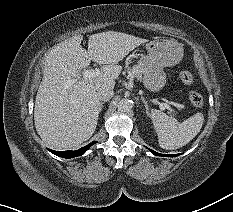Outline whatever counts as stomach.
Masks as SVG:
<instances>
[{"label":"stomach","instance_id":"1","mask_svg":"<svg viewBox=\"0 0 233 212\" xmlns=\"http://www.w3.org/2000/svg\"><path fill=\"white\" fill-rule=\"evenodd\" d=\"M147 54L138 65L143 69L141 76L145 87L150 91H159L166 83L165 67L178 64L183 58V47L175 40L155 39L146 44Z\"/></svg>","mask_w":233,"mask_h":212}]
</instances>
